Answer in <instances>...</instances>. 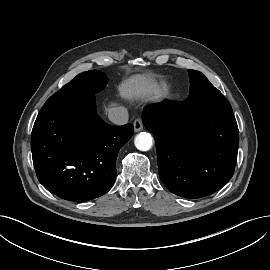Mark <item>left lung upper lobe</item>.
Returning a JSON list of instances; mask_svg holds the SVG:
<instances>
[{"mask_svg":"<svg viewBox=\"0 0 270 270\" xmlns=\"http://www.w3.org/2000/svg\"><path fill=\"white\" fill-rule=\"evenodd\" d=\"M188 73L190 93L196 94L199 109L202 112L232 111L229 101L209 82L204 74L196 70H188Z\"/></svg>","mask_w":270,"mask_h":270,"instance_id":"1","label":"left lung upper lobe"}]
</instances>
